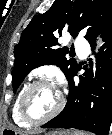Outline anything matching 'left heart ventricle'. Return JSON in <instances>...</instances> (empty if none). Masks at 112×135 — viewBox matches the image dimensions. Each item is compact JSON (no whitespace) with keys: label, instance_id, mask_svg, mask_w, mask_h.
<instances>
[{"label":"left heart ventricle","instance_id":"left-heart-ventricle-1","mask_svg":"<svg viewBox=\"0 0 112 135\" xmlns=\"http://www.w3.org/2000/svg\"><path fill=\"white\" fill-rule=\"evenodd\" d=\"M59 98V91L55 86L40 85L29 96V109L36 116L47 115L57 107Z\"/></svg>","mask_w":112,"mask_h":135}]
</instances>
